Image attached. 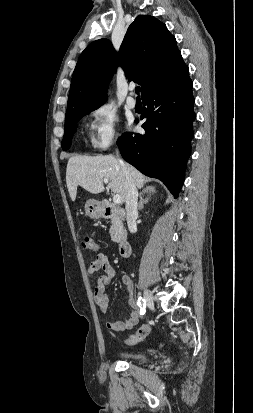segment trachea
Masks as SVG:
<instances>
[{"label":"trachea","mask_w":253,"mask_h":413,"mask_svg":"<svg viewBox=\"0 0 253 413\" xmlns=\"http://www.w3.org/2000/svg\"><path fill=\"white\" fill-rule=\"evenodd\" d=\"M135 93L138 95L137 98H140V96H139V87L135 88Z\"/></svg>","instance_id":"1"}]
</instances>
